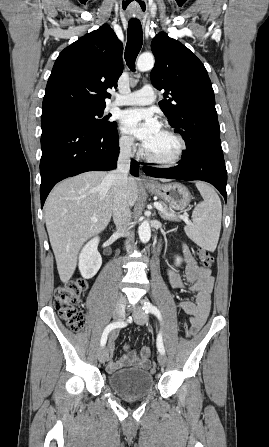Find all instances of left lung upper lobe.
<instances>
[{"instance_id":"5c2ea615","label":"left lung upper lobe","mask_w":269,"mask_h":447,"mask_svg":"<svg viewBox=\"0 0 269 447\" xmlns=\"http://www.w3.org/2000/svg\"><path fill=\"white\" fill-rule=\"evenodd\" d=\"M151 48L156 61L151 81L169 98L159 106L185 140L182 158L208 148L221 149L214 91L203 63L164 32L153 38Z\"/></svg>"}]
</instances>
